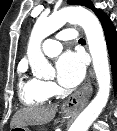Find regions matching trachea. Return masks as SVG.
Listing matches in <instances>:
<instances>
[{"label": "trachea", "instance_id": "3493384b", "mask_svg": "<svg viewBox=\"0 0 117 131\" xmlns=\"http://www.w3.org/2000/svg\"><path fill=\"white\" fill-rule=\"evenodd\" d=\"M79 43H85V40L83 38H80Z\"/></svg>", "mask_w": 117, "mask_h": 131}]
</instances>
